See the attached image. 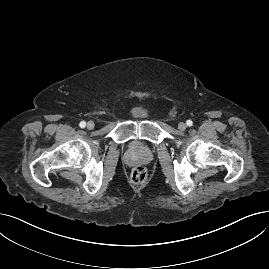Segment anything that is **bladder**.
<instances>
[{
  "label": "bladder",
  "mask_w": 269,
  "mask_h": 269,
  "mask_svg": "<svg viewBox=\"0 0 269 269\" xmlns=\"http://www.w3.org/2000/svg\"><path fill=\"white\" fill-rule=\"evenodd\" d=\"M133 113L139 118H145L148 116V110L143 106H137L134 108Z\"/></svg>",
  "instance_id": "31cf9c89"
}]
</instances>
